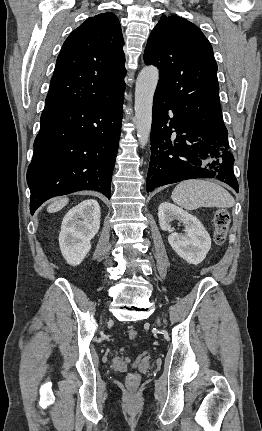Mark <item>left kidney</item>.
Returning a JSON list of instances; mask_svg holds the SVG:
<instances>
[{"mask_svg": "<svg viewBox=\"0 0 262 431\" xmlns=\"http://www.w3.org/2000/svg\"><path fill=\"white\" fill-rule=\"evenodd\" d=\"M159 224L162 230L172 231L171 222L178 220L185 226L184 235L172 232L168 241L173 250L189 264L201 263L211 248V238L202 223L183 209L163 202L158 208Z\"/></svg>", "mask_w": 262, "mask_h": 431, "instance_id": "obj_1", "label": "left kidney"}]
</instances>
